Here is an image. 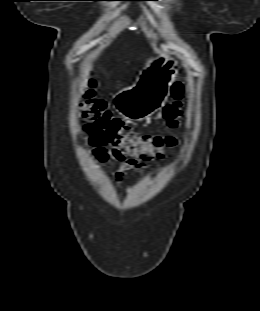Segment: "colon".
<instances>
[{
  "instance_id": "colon-1",
  "label": "colon",
  "mask_w": 260,
  "mask_h": 311,
  "mask_svg": "<svg viewBox=\"0 0 260 311\" xmlns=\"http://www.w3.org/2000/svg\"><path fill=\"white\" fill-rule=\"evenodd\" d=\"M94 72H89L86 86L79 99V109L87 121L86 131L89 141L95 147V155L103 162L107 153L105 145L112 148L111 156L116 159L131 157L142 162H148L165 157L166 149L177 145L174 136L143 135L134 131L130 126L114 117L107 109L103 100L95 97ZM184 85L178 81L172 88V100L163 109V118L171 129H177L184 119Z\"/></svg>"
}]
</instances>
